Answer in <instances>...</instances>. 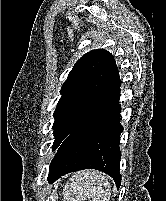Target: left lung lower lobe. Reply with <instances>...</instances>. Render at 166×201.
Returning a JSON list of instances; mask_svg holds the SVG:
<instances>
[{
	"instance_id": "0a47b994",
	"label": "left lung lower lobe",
	"mask_w": 166,
	"mask_h": 201,
	"mask_svg": "<svg viewBox=\"0 0 166 201\" xmlns=\"http://www.w3.org/2000/svg\"><path fill=\"white\" fill-rule=\"evenodd\" d=\"M120 86L112 96L61 143L50 167L48 181L83 169H97L110 175L117 188L121 185L119 150L121 107Z\"/></svg>"
}]
</instances>
